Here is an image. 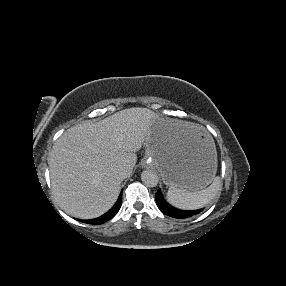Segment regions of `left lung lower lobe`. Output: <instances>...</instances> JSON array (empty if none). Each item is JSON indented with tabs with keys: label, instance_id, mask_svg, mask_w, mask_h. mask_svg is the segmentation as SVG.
I'll use <instances>...</instances> for the list:
<instances>
[{
	"label": "left lung lower lobe",
	"instance_id": "0a47b994",
	"mask_svg": "<svg viewBox=\"0 0 286 286\" xmlns=\"http://www.w3.org/2000/svg\"><path fill=\"white\" fill-rule=\"evenodd\" d=\"M156 203H157L158 208L161 210V212H163L164 214L168 216L179 218V219L192 217L202 211V210L182 211V210L173 208L172 206H170L168 203L165 202L160 190H158V192L156 193Z\"/></svg>",
	"mask_w": 286,
	"mask_h": 286
}]
</instances>
